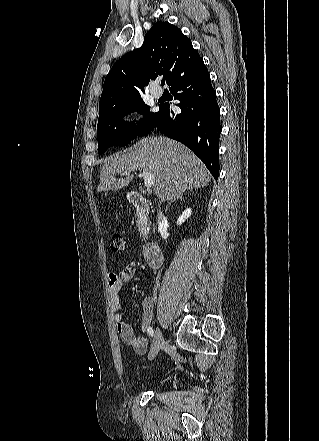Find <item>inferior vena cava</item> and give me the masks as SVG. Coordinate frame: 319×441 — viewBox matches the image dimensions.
Returning <instances> with one entry per match:
<instances>
[{"mask_svg": "<svg viewBox=\"0 0 319 441\" xmlns=\"http://www.w3.org/2000/svg\"><path fill=\"white\" fill-rule=\"evenodd\" d=\"M157 217H158V220H159V221H160V220H161V221H164V220H165V217L163 216L161 210H159V213H158Z\"/></svg>", "mask_w": 319, "mask_h": 441, "instance_id": "inferior-vena-cava-1", "label": "inferior vena cava"}]
</instances>
